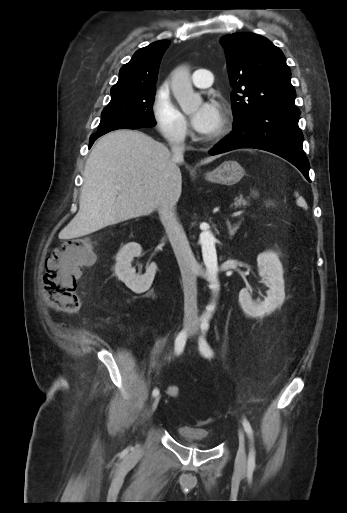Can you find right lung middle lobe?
<instances>
[{"label": "right lung middle lobe", "mask_w": 347, "mask_h": 513, "mask_svg": "<svg viewBox=\"0 0 347 513\" xmlns=\"http://www.w3.org/2000/svg\"><path fill=\"white\" fill-rule=\"evenodd\" d=\"M156 86L111 91V101L101 114L97 132L125 127L149 128L156 125L152 112Z\"/></svg>", "instance_id": "right-lung-middle-lobe-1"}]
</instances>
